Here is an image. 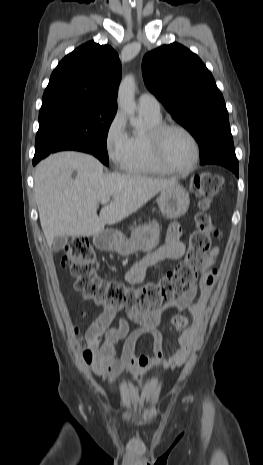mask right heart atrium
Returning <instances> with one entry per match:
<instances>
[{"label":"right heart atrium","mask_w":263,"mask_h":465,"mask_svg":"<svg viewBox=\"0 0 263 465\" xmlns=\"http://www.w3.org/2000/svg\"><path fill=\"white\" fill-rule=\"evenodd\" d=\"M130 136L126 130L124 117L120 112L113 115L104 134V150L112 164L125 169L129 155Z\"/></svg>","instance_id":"d8ad5b80"}]
</instances>
